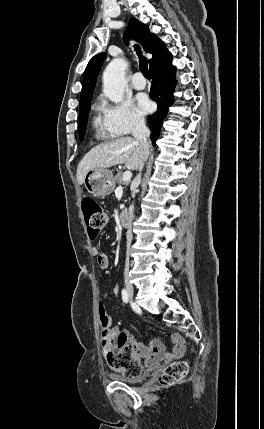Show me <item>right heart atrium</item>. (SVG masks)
Returning <instances> with one entry per match:
<instances>
[{
	"instance_id": "obj_1",
	"label": "right heart atrium",
	"mask_w": 264,
	"mask_h": 429,
	"mask_svg": "<svg viewBox=\"0 0 264 429\" xmlns=\"http://www.w3.org/2000/svg\"><path fill=\"white\" fill-rule=\"evenodd\" d=\"M106 129L114 136H125L144 125L143 117L138 114L129 101L110 103L100 99L98 105Z\"/></svg>"
}]
</instances>
